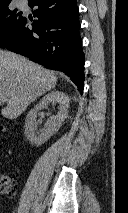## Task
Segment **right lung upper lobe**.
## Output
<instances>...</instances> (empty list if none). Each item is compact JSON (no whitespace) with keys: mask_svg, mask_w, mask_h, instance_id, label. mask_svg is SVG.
I'll return each mask as SVG.
<instances>
[{"mask_svg":"<svg viewBox=\"0 0 128 213\" xmlns=\"http://www.w3.org/2000/svg\"><path fill=\"white\" fill-rule=\"evenodd\" d=\"M12 0H0V6H4V5H7V4H10ZM32 0H28V2H30Z\"/></svg>","mask_w":128,"mask_h":213,"instance_id":"obj_1","label":"right lung upper lobe"}]
</instances>
